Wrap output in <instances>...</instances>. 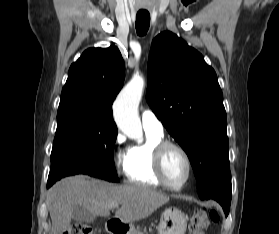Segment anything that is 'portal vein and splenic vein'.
<instances>
[{
  "label": "portal vein and splenic vein",
  "instance_id": "18ae733b",
  "mask_svg": "<svg viewBox=\"0 0 279 234\" xmlns=\"http://www.w3.org/2000/svg\"><path fill=\"white\" fill-rule=\"evenodd\" d=\"M111 206H112V208H116V207H118V204L113 203Z\"/></svg>",
  "mask_w": 279,
  "mask_h": 234
}]
</instances>
